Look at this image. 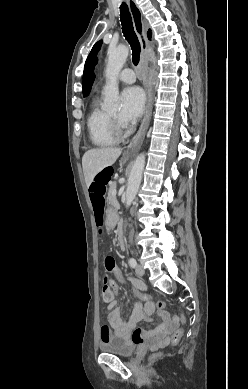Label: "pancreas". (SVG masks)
<instances>
[{
	"label": "pancreas",
	"instance_id": "obj_1",
	"mask_svg": "<svg viewBox=\"0 0 248 389\" xmlns=\"http://www.w3.org/2000/svg\"><path fill=\"white\" fill-rule=\"evenodd\" d=\"M116 187H117L116 182H111L109 184V191H108V196H107L108 203L111 206V208H113V209L118 207V202H117L116 196L113 195V192L116 191Z\"/></svg>",
	"mask_w": 248,
	"mask_h": 389
}]
</instances>
